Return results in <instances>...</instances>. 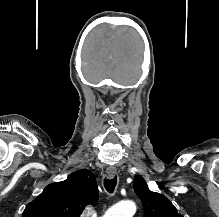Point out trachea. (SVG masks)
Wrapping results in <instances>:
<instances>
[{
	"mask_svg": "<svg viewBox=\"0 0 219 217\" xmlns=\"http://www.w3.org/2000/svg\"><path fill=\"white\" fill-rule=\"evenodd\" d=\"M117 184V177H113L111 179H104V187L109 192L112 193Z\"/></svg>",
	"mask_w": 219,
	"mask_h": 217,
	"instance_id": "obj_1",
	"label": "trachea"
}]
</instances>
